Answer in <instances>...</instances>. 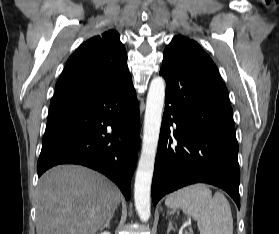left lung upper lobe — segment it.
<instances>
[{"label":"left lung upper lobe","instance_id":"left-lung-upper-lobe-1","mask_svg":"<svg viewBox=\"0 0 279 234\" xmlns=\"http://www.w3.org/2000/svg\"><path fill=\"white\" fill-rule=\"evenodd\" d=\"M165 51L173 52L190 63L217 69L200 45L187 37L175 36Z\"/></svg>","mask_w":279,"mask_h":234}]
</instances>
